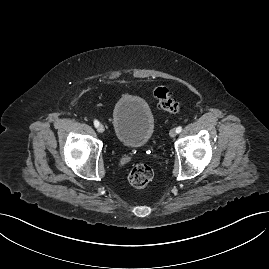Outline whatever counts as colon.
I'll list each match as a JSON object with an SVG mask.
<instances>
[{"label": "colon", "instance_id": "obj_1", "mask_svg": "<svg viewBox=\"0 0 269 269\" xmlns=\"http://www.w3.org/2000/svg\"><path fill=\"white\" fill-rule=\"evenodd\" d=\"M154 95L158 101V106L170 113H178L180 105L172 97L167 87L159 86L154 90ZM153 178V170L146 164H138L132 168L128 180L130 184L137 189L145 188Z\"/></svg>", "mask_w": 269, "mask_h": 269}]
</instances>
